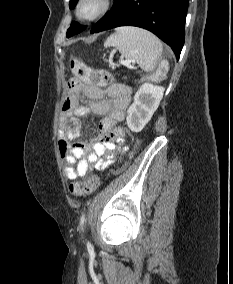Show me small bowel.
<instances>
[{"label":"small bowel","mask_w":233,"mask_h":284,"mask_svg":"<svg viewBox=\"0 0 233 284\" xmlns=\"http://www.w3.org/2000/svg\"><path fill=\"white\" fill-rule=\"evenodd\" d=\"M130 98L131 90L123 84L101 89L78 78L70 79L61 106L63 119L68 125L64 127L59 142L64 176L68 180L84 176L91 167L104 170L114 161L118 150H128L127 146L119 147L124 141V131L118 123L124 119ZM90 112L102 116L98 138L91 143L71 144L70 140L80 135V117Z\"/></svg>","instance_id":"small-bowel-1"}]
</instances>
